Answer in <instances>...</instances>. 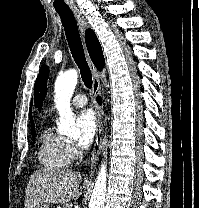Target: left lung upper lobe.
I'll use <instances>...</instances> for the list:
<instances>
[{"mask_svg":"<svg viewBox=\"0 0 199 208\" xmlns=\"http://www.w3.org/2000/svg\"><path fill=\"white\" fill-rule=\"evenodd\" d=\"M48 74V67L46 65L41 66L39 75L34 85L35 106L38 107L39 111L41 110L43 99L46 96V80L48 78Z\"/></svg>","mask_w":199,"mask_h":208,"instance_id":"obj_1","label":"left lung upper lobe"}]
</instances>
